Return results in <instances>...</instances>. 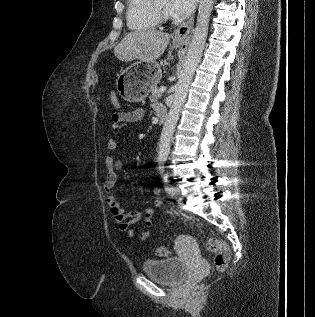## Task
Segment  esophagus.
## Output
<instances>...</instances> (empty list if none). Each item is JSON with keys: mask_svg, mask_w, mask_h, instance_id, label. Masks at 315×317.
<instances>
[{"mask_svg": "<svg viewBox=\"0 0 315 317\" xmlns=\"http://www.w3.org/2000/svg\"><path fill=\"white\" fill-rule=\"evenodd\" d=\"M194 19L191 18L189 21L177 28L173 33V39L183 49H187L189 46L191 35L193 31Z\"/></svg>", "mask_w": 315, "mask_h": 317, "instance_id": "esophagus-1", "label": "esophagus"}]
</instances>
